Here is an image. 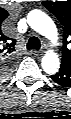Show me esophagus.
Segmentation results:
<instances>
[{"instance_id": "obj_1", "label": "esophagus", "mask_w": 71, "mask_h": 119, "mask_svg": "<svg viewBox=\"0 0 71 119\" xmlns=\"http://www.w3.org/2000/svg\"><path fill=\"white\" fill-rule=\"evenodd\" d=\"M32 53H33L35 56L39 57V56H42L43 51H36V50H34Z\"/></svg>"}]
</instances>
